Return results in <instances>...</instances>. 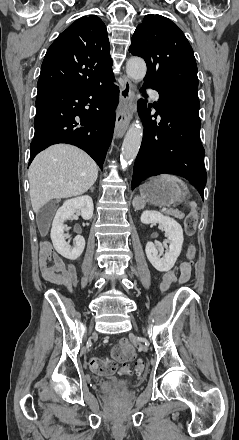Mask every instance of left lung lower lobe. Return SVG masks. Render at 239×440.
I'll use <instances>...</instances> for the list:
<instances>
[{
	"instance_id": "obj_1",
	"label": "left lung lower lobe",
	"mask_w": 239,
	"mask_h": 440,
	"mask_svg": "<svg viewBox=\"0 0 239 440\" xmlns=\"http://www.w3.org/2000/svg\"><path fill=\"white\" fill-rule=\"evenodd\" d=\"M159 93L154 108L161 116L160 123L151 120L145 100L138 102V111L144 121L142 144L135 160L132 188L141 180L162 173L182 176L192 182L201 197L206 185L204 148L200 140L198 87L171 85L160 87L145 81ZM144 93V89H141ZM146 96V94H144Z\"/></svg>"
}]
</instances>
